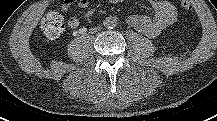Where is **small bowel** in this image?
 Masks as SVG:
<instances>
[{"mask_svg":"<svg viewBox=\"0 0 217 121\" xmlns=\"http://www.w3.org/2000/svg\"><path fill=\"white\" fill-rule=\"evenodd\" d=\"M74 0H64L65 8L69 7ZM114 3L122 2L124 0H111ZM154 10L157 12V16L152 21H147L145 18L140 16H134L130 18V22L138 27H143L147 29H159L168 24H170L176 17V11L174 7L168 1L164 0H150ZM81 6L86 7L89 4V0L81 1ZM68 24L71 28H76L79 26V19L72 17L69 19Z\"/></svg>","mask_w":217,"mask_h":121,"instance_id":"obj_1","label":"small bowel"}]
</instances>
